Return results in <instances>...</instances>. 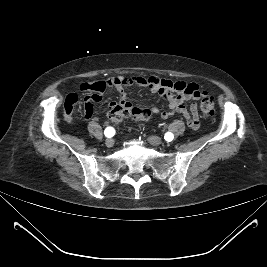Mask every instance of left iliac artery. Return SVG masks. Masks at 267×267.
<instances>
[{
  "instance_id": "obj_1",
  "label": "left iliac artery",
  "mask_w": 267,
  "mask_h": 267,
  "mask_svg": "<svg viewBox=\"0 0 267 267\" xmlns=\"http://www.w3.org/2000/svg\"><path fill=\"white\" fill-rule=\"evenodd\" d=\"M173 137H174L173 134L170 133V132H168V133L165 134L164 139L166 141H172L173 140Z\"/></svg>"
}]
</instances>
